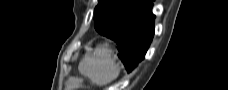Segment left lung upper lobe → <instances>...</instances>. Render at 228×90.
I'll list each match as a JSON object with an SVG mask.
<instances>
[{"label": "left lung upper lobe", "instance_id": "obj_1", "mask_svg": "<svg viewBox=\"0 0 228 90\" xmlns=\"http://www.w3.org/2000/svg\"><path fill=\"white\" fill-rule=\"evenodd\" d=\"M130 1L132 0H99L94 10V27L96 31L100 34L105 32L119 20L123 11L132 10L133 6Z\"/></svg>", "mask_w": 228, "mask_h": 90}]
</instances>
